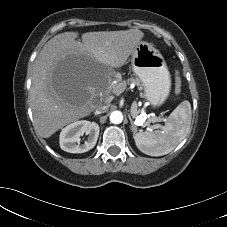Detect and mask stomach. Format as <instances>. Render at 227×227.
Returning a JSON list of instances; mask_svg holds the SVG:
<instances>
[{"instance_id":"0dacf381","label":"stomach","mask_w":227,"mask_h":227,"mask_svg":"<svg viewBox=\"0 0 227 227\" xmlns=\"http://www.w3.org/2000/svg\"><path fill=\"white\" fill-rule=\"evenodd\" d=\"M131 66L142 84L144 98L152 107L161 106L171 90V77L164 57L151 43L140 41L132 52Z\"/></svg>"}]
</instances>
